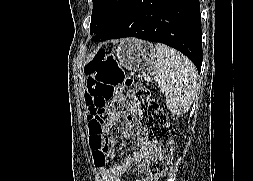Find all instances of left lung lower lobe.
<instances>
[{"instance_id":"0a47b994","label":"left lung lower lobe","mask_w":253,"mask_h":181,"mask_svg":"<svg viewBox=\"0 0 253 181\" xmlns=\"http://www.w3.org/2000/svg\"><path fill=\"white\" fill-rule=\"evenodd\" d=\"M136 37L169 45L202 65L199 0H131L100 41ZM98 40V39H97Z\"/></svg>"}]
</instances>
